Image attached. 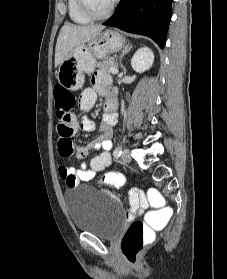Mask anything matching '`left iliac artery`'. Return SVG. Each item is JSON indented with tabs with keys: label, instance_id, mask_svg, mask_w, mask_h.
<instances>
[{
	"label": "left iliac artery",
	"instance_id": "44dca946",
	"mask_svg": "<svg viewBox=\"0 0 227 279\" xmlns=\"http://www.w3.org/2000/svg\"><path fill=\"white\" fill-rule=\"evenodd\" d=\"M122 148H123V145H122V143H120L114 151L113 155L115 158H119L122 155Z\"/></svg>",
	"mask_w": 227,
	"mask_h": 279
}]
</instances>
